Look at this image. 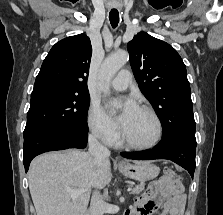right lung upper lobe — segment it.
<instances>
[{
  "mask_svg": "<svg viewBox=\"0 0 223 215\" xmlns=\"http://www.w3.org/2000/svg\"><path fill=\"white\" fill-rule=\"evenodd\" d=\"M91 55L92 46L85 34L57 42L43 61L32 94L60 92L90 96L87 75Z\"/></svg>",
  "mask_w": 223,
  "mask_h": 215,
  "instance_id": "cb5924a9",
  "label": "right lung upper lobe"
}]
</instances>
